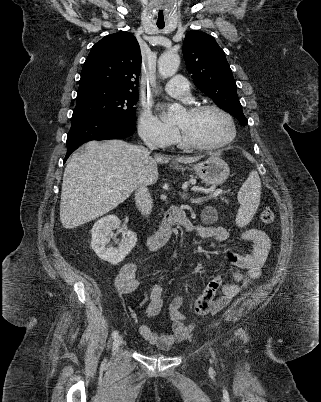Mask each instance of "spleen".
<instances>
[{
    "instance_id": "obj_1",
    "label": "spleen",
    "mask_w": 321,
    "mask_h": 402,
    "mask_svg": "<svg viewBox=\"0 0 321 402\" xmlns=\"http://www.w3.org/2000/svg\"><path fill=\"white\" fill-rule=\"evenodd\" d=\"M260 197V178L258 172L253 170L238 192L240 208L235 220L238 227H244L251 221L259 206Z\"/></svg>"
}]
</instances>
